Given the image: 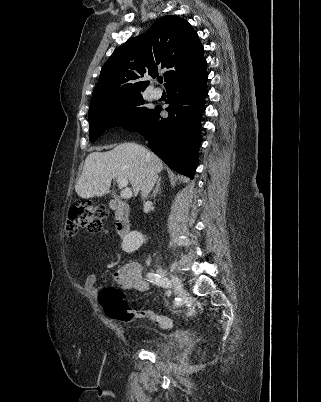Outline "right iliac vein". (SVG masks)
Wrapping results in <instances>:
<instances>
[{
  "label": "right iliac vein",
  "mask_w": 321,
  "mask_h": 402,
  "mask_svg": "<svg viewBox=\"0 0 321 402\" xmlns=\"http://www.w3.org/2000/svg\"><path fill=\"white\" fill-rule=\"evenodd\" d=\"M158 272L163 275L166 271L164 269H162V268H159ZM170 277H171V281H172V284H173L175 294L181 300H184L185 296H186V292H185L184 287H183V285L181 283V280L177 276H175L173 274H170Z\"/></svg>",
  "instance_id": "right-iliac-vein-1"
}]
</instances>
